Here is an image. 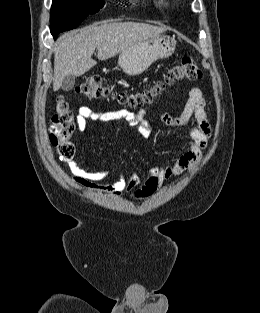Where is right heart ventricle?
I'll return each mask as SVG.
<instances>
[{
  "mask_svg": "<svg viewBox=\"0 0 260 313\" xmlns=\"http://www.w3.org/2000/svg\"><path fill=\"white\" fill-rule=\"evenodd\" d=\"M159 3L164 4V0H158Z\"/></svg>",
  "mask_w": 260,
  "mask_h": 313,
  "instance_id": "obj_1",
  "label": "right heart ventricle"
}]
</instances>
